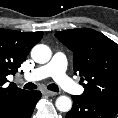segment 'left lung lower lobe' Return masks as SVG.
Listing matches in <instances>:
<instances>
[{"label": "left lung lower lobe", "instance_id": "left-lung-lower-lobe-1", "mask_svg": "<svg viewBox=\"0 0 118 118\" xmlns=\"http://www.w3.org/2000/svg\"><path fill=\"white\" fill-rule=\"evenodd\" d=\"M73 106L66 118H114L118 113V105L95 99H87L81 95L72 96Z\"/></svg>", "mask_w": 118, "mask_h": 118}]
</instances>
